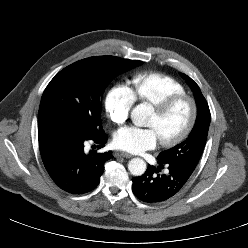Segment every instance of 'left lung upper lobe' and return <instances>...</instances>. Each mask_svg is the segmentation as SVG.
Segmentation results:
<instances>
[{
    "label": "left lung upper lobe",
    "mask_w": 248,
    "mask_h": 248,
    "mask_svg": "<svg viewBox=\"0 0 248 248\" xmlns=\"http://www.w3.org/2000/svg\"><path fill=\"white\" fill-rule=\"evenodd\" d=\"M182 76L194 92L198 108L197 119L189 137L175 147L161 152L157 159L162 163H171L195 168L206 144L211 115L209 106L202 95L199 86L187 75L182 74Z\"/></svg>",
    "instance_id": "5c2ea615"
}]
</instances>
